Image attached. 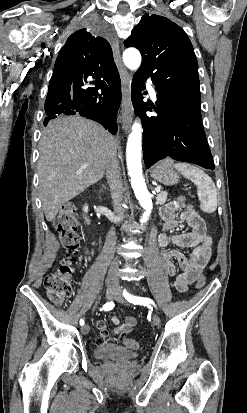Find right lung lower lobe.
Instances as JSON below:
<instances>
[{
	"label": "right lung lower lobe",
	"mask_w": 247,
	"mask_h": 413,
	"mask_svg": "<svg viewBox=\"0 0 247 413\" xmlns=\"http://www.w3.org/2000/svg\"><path fill=\"white\" fill-rule=\"evenodd\" d=\"M87 75L74 73H60L53 75L49 88H59L65 91L61 98H53L49 94L46 98L45 112L47 117L44 125L57 115L81 116L95 120L102 124L111 134L117 132V111L121 103V83L119 73L110 75L92 76L90 82L95 87H86ZM98 90H101L98 92Z\"/></svg>",
	"instance_id": "obj_1"
}]
</instances>
